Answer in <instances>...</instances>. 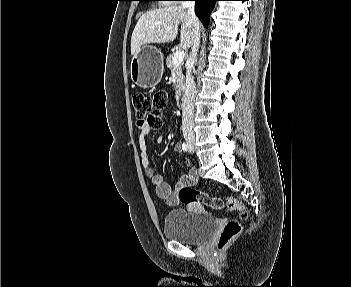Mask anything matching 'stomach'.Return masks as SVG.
Returning <instances> with one entry per match:
<instances>
[{"mask_svg":"<svg viewBox=\"0 0 351 287\" xmlns=\"http://www.w3.org/2000/svg\"><path fill=\"white\" fill-rule=\"evenodd\" d=\"M132 81L142 88L156 86L164 71L163 54L153 46H142L140 51L133 55L130 65Z\"/></svg>","mask_w":351,"mask_h":287,"instance_id":"1","label":"stomach"}]
</instances>
